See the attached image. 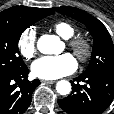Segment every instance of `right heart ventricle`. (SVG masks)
Instances as JSON below:
<instances>
[{
	"mask_svg": "<svg viewBox=\"0 0 114 114\" xmlns=\"http://www.w3.org/2000/svg\"><path fill=\"white\" fill-rule=\"evenodd\" d=\"M52 27L64 39H69L75 34V27L67 21H57Z\"/></svg>",
	"mask_w": 114,
	"mask_h": 114,
	"instance_id": "obj_1",
	"label": "right heart ventricle"
}]
</instances>
